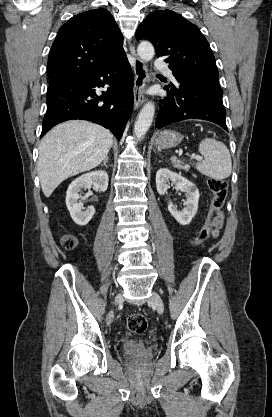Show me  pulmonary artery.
Masks as SVG:
<instances>
[{"mask_svg":"<svg viewBox=\"0 0 272 417\" xmlns=\"http://www.w3.org/2000/svg\"><path fill=\"white\" fill-rule=\"evenodd\" d=\"M155 67L157 69L165 70L170 77L174 78L172 72L167 68V65L163 61L156 60L155 61Z\"/></svg>","mask_w":272,"mask_h":417,"instance_id":"pulmonary-artery-1","label":"pulmonary artery"}]
</instances>
